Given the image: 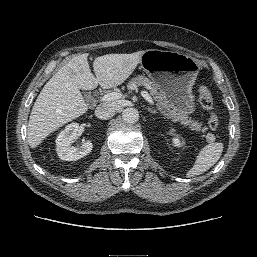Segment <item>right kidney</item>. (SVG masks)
Wrapping results in <instances>:
<instances>
[{
  "mask_svg": "<svg viewBox=\"0 0 257 257\" xmlns=\"http://www.w3.org/2000/svg\"><path fill=\"white\" fill-rule=\"evenodd\" d=\"M79 125L77 123L68 124L56 138V152L61 160L76 161L89 154L93 148L90 141L82 142L79 148L71 146L76 139Z\"/></svg>",
  "mask_w": 257,
  "mask_h": 257,
  "instance_id": "obj_1",
  "label": "right kidney"
}]
</instances>
